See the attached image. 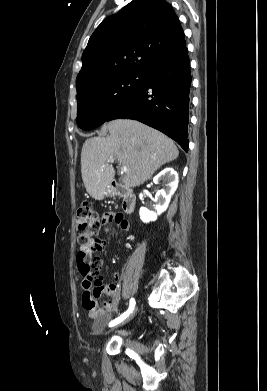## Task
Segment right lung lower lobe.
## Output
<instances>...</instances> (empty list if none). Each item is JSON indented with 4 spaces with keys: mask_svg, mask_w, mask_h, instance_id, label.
<instances>
[{
    "mask_svg": "<svg viewBox=\"0 0 267 391\" xmlns=\"http://www.w3.org/2000/svg\"><path fill=\"white\" fill-rule=\"evenodd\" d=\"M190 61L186 46L144 71L142 87L114 110L108 120L135 119L156 128L188 152Z\"/></svg>",
    "mask_w": 267,
    "mask_h": 391,
    "instance_id": "obj_1",
    "label": "right lung lower lobe"
}]
</instances>
